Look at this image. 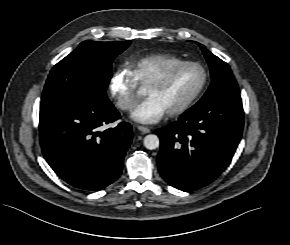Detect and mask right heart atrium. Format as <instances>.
Listing matches in <instances>:
<instances>
[{"instance_id": "right-heart-atrium-1", "label": "right heart atrium", "mask_w": 290, "mask_h": 245, "mask_svg": "<svg viewBox=\"0 0 290 245\" xmlns=\"http://www.w3.org/2000/svg\"><path fill=\"white\" fill-rule=\"evenodd\" d=\"M109 91L121 110L129 111L134 107L137 100V82L128 69L120 67L113 72Z\"/></svg>"}]
</instances>
